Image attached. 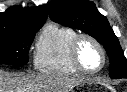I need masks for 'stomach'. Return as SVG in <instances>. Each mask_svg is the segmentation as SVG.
I'll return each instance as SVG.
<instances>
[{
  "mask_svg": "<svg viewBox=\"0 0 127 92\" xmlns=\"http://www.w3.org/2000/svg\"><path fill=\"white\" fill-rule=\"evenodd\" d=\"M89 85H90L89 82H83V83L79 84V87H80V89H83L84 90V88H86Z\"/></svg>",
  "mask_w": 127,
  "mask_h": 92,
  "instance_id": "0dacf381",
  "label": "stomach"
}]
</instances>
